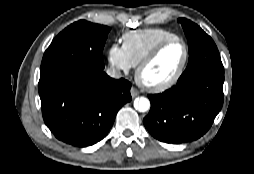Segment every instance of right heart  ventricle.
Listing matches in <instances>:
<instances>
[{
  "label": "right heart ventricle",
  "mask_w": 254,
  "mask_h": 174,
  "mask_svg": "<svg viewBox=\"0 0 254 174\" xmlns=\"http://www.w3.org/2000/svg\"><path fill=\"white\" fill-rule=\"evenodd\" d=\"M174 37V32L164 28H144L124 32L121 40L131 64L137 66L156 44Z\"/></svg>",
  "instance_id": "e07e8e85"
}]
</instances>
